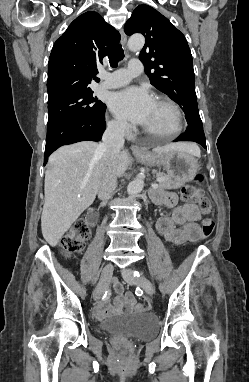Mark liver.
Instances as JSON below:
<instances>
[{
    "instance_id": "6515ba94",
    "label": "liver",
    "mask_w": 249,
    "mask_h": 382,
    "mask_svg": "<svg viewBox=\"0 0 249 382\" xmlns=\"http://www.w3.org/2000/svg\"><path fill=\"white\" fill-rule=\"evenodd\" d=\"M100 144L82 141L62 146L49 158L45 172V203L41 216L44 239L55 247L71 225L95 200L104 167V153ZM180 149L195 156L200 155L197 146L188 143H172L154 149L164 153ZM129 153L122 151L116 160L118 176L130 165Z\"/></svg>"
}]
</instances>
